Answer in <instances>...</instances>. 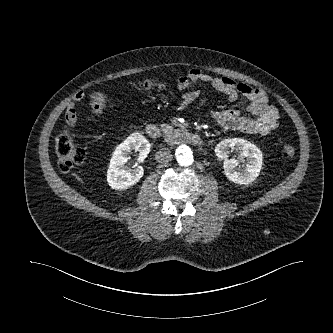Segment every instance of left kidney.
<instances>
[{
    "mask_svg": "<svg viewBox=\"0 0 333 333\" xmlns=\"http://www.w3.org/2000/svg\"><path fill=\"white\" fill-rule=\"evenodd\" d=\"M236 148L240 152L241 159H247L245 168L238 171V161L229 158L230 150ZM216 156L224 160V173L227 178L240 185L253 182L259 175L263 165V155L260 149L254 144L242 138L225 139L215 148Z\"/></svg>",
    "mask_w": 333,
    "mask_h": 333,
    "instance_id": "5707ae66",
    "label": "left kidney"
}]
</instances>
